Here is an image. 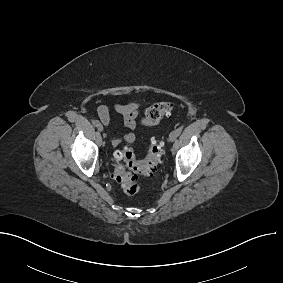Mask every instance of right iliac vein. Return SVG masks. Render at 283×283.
<instances>
[{"mask_svg":"<svg viewBox=\"0 0 283 283\" xmlns=\"http://www.w3.org/2000/svg\"><path fill=\"white\" fill-rule=\"evenodd\" d=\"M97 128H98V130H99L100 132H102V131H103V129H104V128H103V126H102L101 124H100V125H98V126H97Z\"/></svg>","mask_w":283,"mask_h":283,"instance_id":"obj_1","label":"right iliac vein"}]
</instances>
